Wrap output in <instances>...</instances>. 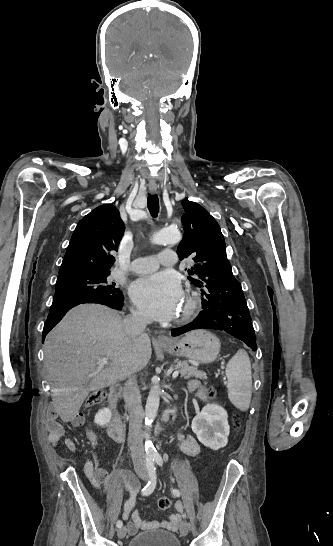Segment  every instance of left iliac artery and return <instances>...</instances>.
Listing matches in <instances>:
<instances>
[{
	"label": "left iliac artery",
	"mask_w": 333,
	"mask_h": 546,
	"mask_svg": "<svg viewBox=\"0 0 333 546\" xmlns=\"http://www.w3.org/2000/svg\"><path fill=\"white\" fill-rule=\"evenodd\" d=\"M153 458H154L155 462H156L159 466H162V465H163V459H162V457H161V455H160L159 453L154 454V455H153ZM172 493H173L174 496H177V497H179L180 494H181L180 491L177 490V489H173V490H172Z\"/></svg>",
	"instance_id": "44dca946"
}]
</instances>
